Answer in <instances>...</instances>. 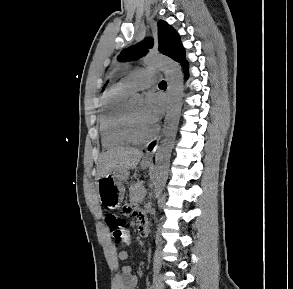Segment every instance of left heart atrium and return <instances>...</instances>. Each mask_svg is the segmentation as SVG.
Wrapping results in <instances>:
<instances>
[{"label": "left heart atrium", "instance_id": "1", "mask_svg": "<svg viewBox=\"0 0 293 289\" xmlns=\"http://www.w3.org/2000/svg\"><path fill=\"white\" fill-rule=\"evenodd\" d=\"M165 103L161 95L148 93L143 105V117L151 125H155L164 112Z\"/></svg>", "mask_w": 293, "mask_h": 289}]
</instances>
